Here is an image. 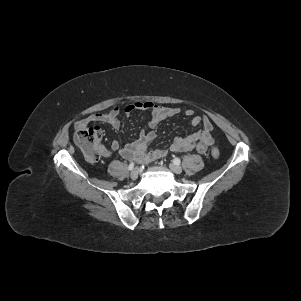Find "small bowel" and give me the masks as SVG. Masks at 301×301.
Instances as JSON below:
<instances>
[{"label": "small bowel", "mask_w": 301, "mask_h": 301, "mask_svg": "<svg viewBox=\"0 0 301 301\" xmlns=\"http://www.w3.org/2000/svg\"><path fill=\"white\" fill-rule=\"evenodd\" d=\"M134 111H149L151 113L149 120L150 128H156L165 119L174 117L181 112L177 107H164L152 102H135L124 108L125 114H130ZM120 113L121 110L117 106L113 107L108 112L94 113L89 117L78 121L76 123V128L87 126L91 122H101L108 124L114 129H118L120 126ZM184 114L191 119V125L193 127L201 125V128L196 133L189 136L174 138L169 150L172 152H185L194 149L198 153H205L214 143L212 137V123L207 117L196 115L191 109L185 110ZM155 138V132L151 131L146 133L142 131L136 141L121 147L117 140H113L109 148H102L101 152L104 156H111L114 153H119L124 159L129 160L135 158L143 163L152 162L167 155V151L163 149H148Z\"/></svg>", "instance_id": "obj_1"}]
</instances>
